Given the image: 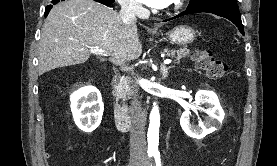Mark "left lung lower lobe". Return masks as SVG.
<instances>
[{"label":"left lung lower lobe","mask_w":277,"mask_h":166,"mask_svg":"<svg viewBox=\"0 0 277 166\" xmlns=\"http://www.w3.org/2000/svg\"><path fill=\"white\" fill-rule=\"evenodd\" d=\"M200 12L213 13L215 15L224 17L232 21L238 27L242 35H244V30L241 22V15L238 9V5L237 3H232V2L214 1V2L205 3L197 7L187 9L173 18L164 20V22L170 21L172 19L184 16V15L200 13Z\"/></svg>","instance_id":"0a47b994"}]
</instances>
